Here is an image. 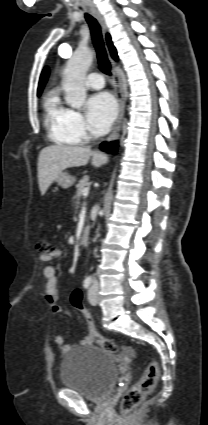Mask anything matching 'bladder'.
Masks as SVG:
<instances>
[{"instance_id":"1","label":"bladder","mask_w":208,"mask_h":425,"mask_svg":"<svg viewBox=\"0 0 208 425\" xmlns=\"http://www.w3.org/2000/svg\"><path fill=\"white\" fill-rule=\"evenodd\" d=\"M118 377L112 354L96 346L80 347L63 357L62 384L87 400L104 399L114 389Z\"/></svg>"}]
</instances>
